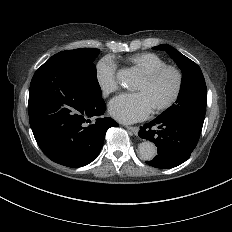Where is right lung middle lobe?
<instances>
[{"mask_svg":"<svg viewBox=\"0 0 232 232\" xmlns=\"http://www.w3.org/2000/svg\"><path fill=\"white\" fill-rule=\"evenodd\" d=\"M99 52V49L79 48L59 52L53 55L50 60H59L78 66L92 83V89L95 90L96 93L101 94V89L97 81L96 66L93 63L95 58L99 55Z\"/></svg>","mask_w":232,"mask_h":232,"instance_id":"obj_1","label":"right lung middle lobe"}]
</instances>
